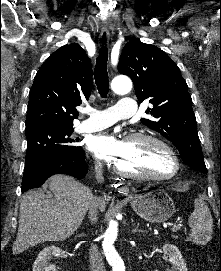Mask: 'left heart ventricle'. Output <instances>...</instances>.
<instances>
[{"label": "left heart ventricle", "instance_id": "left-heart-ventricle-1", "mask_svg": "<svg viewBox=\"0 0 221 271\" xmlns=\"http://www.w3.org/2000/svg\"><path fill=\"white\" fill-rule=\"evenodd\" d=\"M156 141L150 137H141L136 140L140 144V149H133V156H124L119 160L118 168H121L120 175L144 174L146 169H156V174H160V169H174L173 166H166L163 156H168L166 152H157V149H148V144ZM127 165V167H126Z\"/></svg>", "mask_w": 221, "mask_h": 271}]
</instances>
